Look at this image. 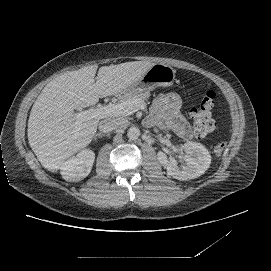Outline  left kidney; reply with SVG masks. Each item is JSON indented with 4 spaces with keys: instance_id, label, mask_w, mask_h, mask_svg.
<instances>
[{
    "instance_id": "obj_1",
    "label": "left kidney",
    "mask_w": 271,
    "mask_h": 271,
    "mask_svg": "<svg viewBox=\"0 0 271 271\" xmlns=\"http://www.w3.org/2000/svg\"><path fill=\"white\" fill-rule=\"evenodd\" d=\"M186 165H180L177 160L167 163V173L179 180H190L201 176L211 165L212 156L207 148L198 142L187 141L183 146ZM160 162L166 163V156L158 154Z\"/></svg>"
}]
</instances>
